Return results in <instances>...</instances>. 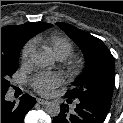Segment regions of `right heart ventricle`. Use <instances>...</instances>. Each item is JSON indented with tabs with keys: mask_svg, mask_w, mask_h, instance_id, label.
Here are the masks:
<instances>
[{
	"mask_svg": "<svg viewBox=\"0 0 123 123\" xmlns=\"http://www.w3.org/2000/svg\"><path fill=\"white\" fill-rule=\"evenodd\" d=\"M36 41L43 42L57 59H65L74 51L71 40L62 35L53 34L47 37H38Z\"/></svg>",
	"mask_w": 123,
	"mask_h": 123,
	"instance_id": "right-heart-ventricle-1",
	"label": "right heart ventricle"
}]
</instances>
